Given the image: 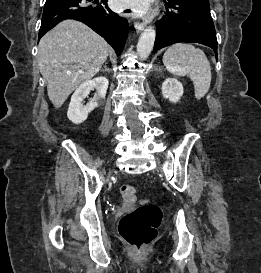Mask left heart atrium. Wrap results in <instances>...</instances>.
Wrapping results in <instances>:
<instances>
[{
	"label": "left heart atrium",
	"instance_id": "obj_1",
	"mask_svg": "<svg viewBox=\"0 0 261 273\" xmlns=\"http://www.w3.org/2000/svg\"><path fill=\"white\" fill-rule=\"evenodd\" d=\"M111 6L116 10H131L136 15L148 13L151 0H110Z\"/></svg>",
	"mask_w": 261,
	"mask_h": 273
}]
</instances>
